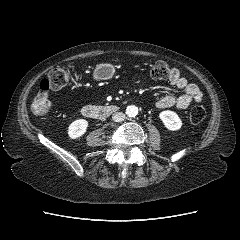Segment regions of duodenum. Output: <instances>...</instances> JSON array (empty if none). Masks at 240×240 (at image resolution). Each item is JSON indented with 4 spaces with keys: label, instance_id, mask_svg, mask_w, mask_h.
I'll return each mask as SVG.
<instances>
[{
    "label": "duodenum",
    "instance_id": "1",
    "mask_svg": "<svg viewBox=\"0 0 240 240\" xmlns=\"http://www.w3.org/2000/svg\"><path fill=\"white\" fill-rule=\"evenodd\" d=\"M118 107L115 105H105V106H97V105H85L82 108L83 116L91 119H104L116 112Z\"/></svg>",
    "mask_w": 240,
    "mask_h": 240
}]
</instances>
